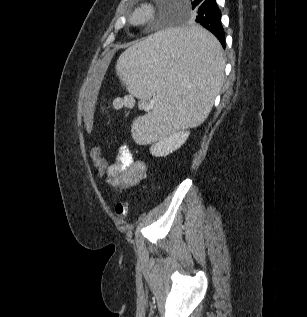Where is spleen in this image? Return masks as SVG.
I'll return each instance as SVG.
<instances>
[{
    "label": "spleen",
    "instance_id": "1",
    "mask_svg": "<svg viewBox=\"0 0 307 317\" xmlns=\"http://www.w3.org/2000/svg\"><path fill=\"white\" fill-rule=\"evenodd\" d=\"M224 66L220 43L204 26L158 29L122 53L116 70L128 91L154 99L152 112L132 125L136 142L202 124L222 87Z\"/></svg>",
    "mask_w": 307,
    "mask_h": 317
}]
</instances>
